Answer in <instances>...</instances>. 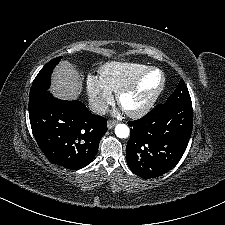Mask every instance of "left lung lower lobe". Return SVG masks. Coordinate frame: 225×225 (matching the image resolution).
I'll return each mask as SVG.
<instances>
[{"label":"left lung lower lobe","instance_id":"0a47b994","mask_svg":"<svg viewBox=\"0 0 225 225\" xmlns=\"http://www.w3.org/2000/svg\"><path fill=\"white\" fill-rule=\"evenodd\" d=\"M128 124L127 164L139 177L155 178L171 170L183 156L192 133V104H160Z\"/></svg>","mask_w":225,"mask_h":225}]
</instances>
